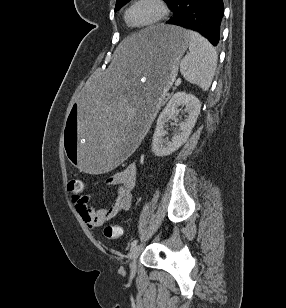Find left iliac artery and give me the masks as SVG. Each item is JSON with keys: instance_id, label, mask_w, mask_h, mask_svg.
Segmentation results:
<instances>
[{"instance_id": "44dca946", "label": "left iliac artery", "mask_w": 286, "mask_h": 308, "mask_svg": "<svg viewBox=\"0 0 286 308\" xmlns=\"http://www.w3.org/2000/svg\"><path fill=\"white\" fill-rule=\"evenodd\" d=\"M137 243H138V240H137V239L133 240L132 243H131V248H133L134 246H136Z\"/></svg>"}]
</instances>
